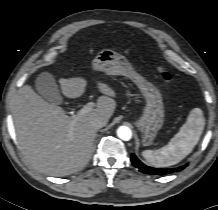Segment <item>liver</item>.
I'll list each match as a JSON object with an SVG mask.
<instances>
[{
	"label": "liver",
	"mask_w": 218,
	"mask_h": 210,
	"mask_svg": "<svg viewBox=\"0 0 218 210\" xmlns=\"http://www.w3.org/2000/svg\"><path fill=\"white\" fill-rule=\"evenodd\" d=\"M59 83L68 98L82 96L86 88V80L81 77L61 78ZM97 87L103 94L97 107L79 119L64 115L61 107L42 99L29 85L19 91L13 106L16 136L25 157L40 172L66 176L89 162L97 132L90 122L108 121L116 108L115 91L100 81Z\"/></svg>",
	"instance_id": "liver-1"
}]
</instances>
